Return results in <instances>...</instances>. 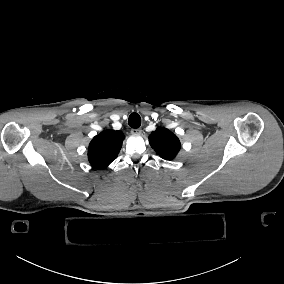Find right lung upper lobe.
Instances as JSON below:
<instances>
[{
    "label": "right lung upper lobe",
    "mask_w": 284,
    "mask_h": 284,
    "mask_svg": "<svg viewBox=\"0 0 284 284\" xmlns=\"http://www.w3.org/2000/svg\"><path fill=\"white\" fill-rule=\"evenodd\" d=\"M125 136L121 131L104 130L95 136L89 144L88 159L96 169L106 168L121 149Z\"/></svg>",
    "instance_id": "obj_1"
}]
</instances>
